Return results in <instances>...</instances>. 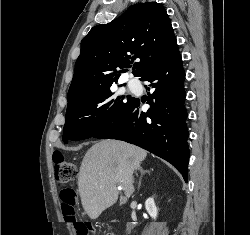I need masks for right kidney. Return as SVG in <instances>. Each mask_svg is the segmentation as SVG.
<instances>
[{"instance_id":"1","label":"right kidney","mask_w":250,"mask_h":235,"mask_svg":"<svg viewBox=\"0 0 250 235\" xmlns=\"http://www.w3.org/2000/svg\"><path fill=\"white\" fill-rule=\"evenodd\" d=\"M145 208L148 212V214L153 218L156 219L158 210L155 205L154 199L153 198H148L145 202Z\"/></svg>"}]
</instances>
